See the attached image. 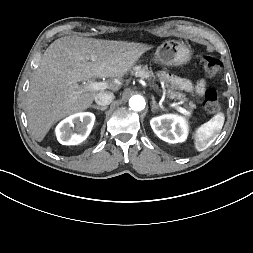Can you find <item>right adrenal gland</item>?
<instances>
[{
    "label": "right adrenal gland",
    "instance_id": "right-adrenal-gland-1",
    "mask_svg": "<svg viewBox=\"0 0 253 253\" xmlns=\"http://www.w3.org/2000/svg\"><path fill=\"white\" fill-rule=\"evenodd\" d=\"M91 108H95L97 110H101V111H104L107 109V106H104V107H100V106H97V105H91L90 106Z\"/></svg>",
    "mask_w": 253,
    "mask_h": 253
}]
</instances>
